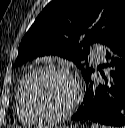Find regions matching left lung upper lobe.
I'll use <instances>...</instances> for the list:
<instances>
[{"label": "left lung upper lobe", "mask_w": 125, "mask_h": 128, "mask_svg": "<svg viewBox=\"0 0 125 128\" xmlns=\"http://www.w3.org/2000/svg\"><path fill=\"white\" fill-rule=\"evenodd\" d=\"M124 26L125 0H53L23 37L15 66L59 55L73 61L84 76L94 70L90 45H107Z\"/></svg>", "instance_id": "left-lung-upper-lobe-1"}]
</instances>
